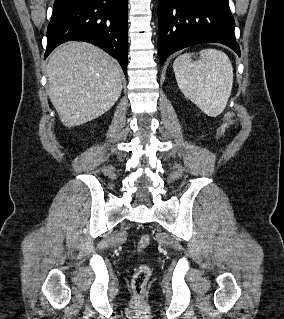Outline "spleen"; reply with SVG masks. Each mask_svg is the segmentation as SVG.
Wrapping results in <instances>:
<instances>
[{
  "instance_id": "spleen-1",
  "label": "spleen",
  "mask_w": 284,
  "mask_h": 319,
  "mask_svg": "<svg viewBox=\"0 0 284 319\" xmlns=\"http://www.w3.org/2000/svg\"><path fill=\"white\" fill-rule=\"evenodd\" d=\"M200 55L196 61L192 56ZM181 92L203 113L216 117L225 109L233 85V67L228 56L216 49L185 53L173 63Z\"/></svg>"
}]
</instances>
